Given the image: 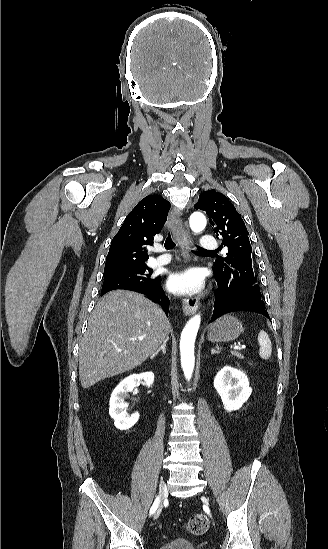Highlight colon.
Masks as SVG:
<instances>
[{
    "mask_svg": "<svg viewBox=\"0 0 328 549\" xmlns=\"http://www.w3.org/2000/svg\"><path fill=\"white\" fill-rule=\"evenodd\" d=\"M185 529L191 535H202L208 529V519L203 514H195L187 520Z\"/></svg>",
    "mask_w": 328,
    "mask_h": 549,
    "instance_id": "obj_1",
    "label": "colon"
}]
</instances>
